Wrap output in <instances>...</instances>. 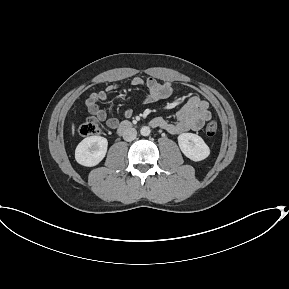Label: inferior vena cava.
Returning <instances> with one entry per match:
<instances>
[{"label":"inferior vena cava","mask_w":289,"mask_h":289,"mask_svg":"<svg viewBox=\"0 0 289 289\" xmlns=\"http://www.w3.org/2000/svg\"><path fill=\"white\" fill-rule=\"evenodd\" d=\"M123 139L125 141H133L134 139H136V136H137V131L135 128H126L124 131H123Z\"/></svg>","instance_id":"inferior-vena-cava-1"}]
</instances>
